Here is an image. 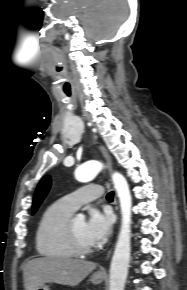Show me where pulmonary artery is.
Returning a JSON list of instances; mask_svg holds the SVG:
<instances>
[{
    "label": "pulmonary artery",
    "instance_id": "1",
    "mask_svg": "<svg viewBox=\"0 0 187 290\" xmlns=\"http://www.w3.org/2000/svg\"><path fill=\"white\" fill-rule=\"evenodd\" d=\"M103 187L98 184H88L65 195L61 200L72 210H77L82 204L102 196Z\"/></svg>",
    "mask_w": 187,
    "mask_h": 290
}]
</instances>
